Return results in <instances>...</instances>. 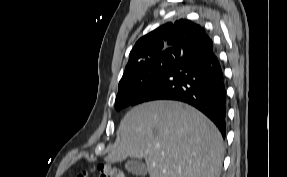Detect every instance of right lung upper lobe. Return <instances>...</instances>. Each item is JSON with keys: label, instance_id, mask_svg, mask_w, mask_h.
Here are the masks:
<instances>
[{"label": "right lung upper lobe", "instance_id": "cb5924a9", "mask_svg": "<svg viewBox=\"0 0 287 177\" xmlns=\"http://www.w3.org/2000/svg\"><path fill=\"white\" fill-rule=\"evenodd\" d=\"M204 29L190 20L166 23L140 38L129 55L119 84L134 78L141 71L169 56H182L185 48Z\"/></svg>", "mask_w": 287, "mask_h": 177}]
</instances>
